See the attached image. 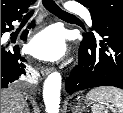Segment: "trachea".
<instances>
[{
	"label": "trachea",
	"mask_w": 123,
	"mask_h": 113,
	"mask_svg": "<svg viewBox=\"0 0 123 113\" xmlns=\"http://www.w3.org/2000/svg\"><path fill=\"white\" fill-rule=\"evenodd\" d=\"M44 7L51 12L52 14L63 17V18H75L73 14H70L64 10H62L53 0H43ZM34 11L28 12L25 17H31L33 15Z\"/></svg>",
	"instance_id": "3493384b"
}]
</instances>
